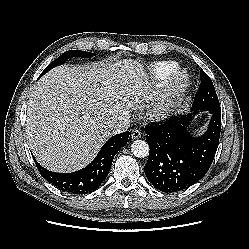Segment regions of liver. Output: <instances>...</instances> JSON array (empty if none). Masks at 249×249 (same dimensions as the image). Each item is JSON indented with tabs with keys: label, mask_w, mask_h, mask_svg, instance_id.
<instances>
[{
	"label": "liver",
	"mask_w": 249,
	"mask_h": 249,
	"mask_svg": "<svg viewBox=\"0 0 249 249\" xmlns=\"http://www.w3.org/2000/svg\"><path fill=\"white\" fill-rule=\"evenodd\" d=\"M150 98L148 74L137 61L56 67L34 86L27 103L30 149L50 171L79 170L112 135L110 125Z\"/></svg>",
	"instance_id": "obj_1"
}]
</instances>
